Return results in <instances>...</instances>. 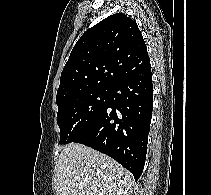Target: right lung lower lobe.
I'll use <instances>...</instances> for the list:
<instances>
[{
    "label": "right lung lower lobe",
    "instance_id": "1",
    "mask_svg": "<svg viewBox=\"0 0 211 195\" xmlns=\"http://www.w3.org/2000/svg\"><path fill=\"white\" fill-rule=\"evenodd\" d=\"M110 89L107 107L74 142L110 156L137 181L144 169L152 117L151 68L118 81Z\"/></svg>",
    "mask_w": 211,
    "mask_h": 195
}]
</instances>
